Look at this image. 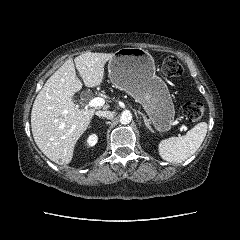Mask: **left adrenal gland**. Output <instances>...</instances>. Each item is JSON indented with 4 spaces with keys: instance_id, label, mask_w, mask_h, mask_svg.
<instances>
[{
    "instance_id": "a2214340",
    "label": "left adrenal gland",
    "mask_w": 240,
    "mask_h": 240,
    "mask_svg": "<svg viewBox=\"0 0 240 240\" xmlns=\"http://www.w3.org/2000/svg\"><path fill=\"white\" fill-rule=\"evenodd\" d=\"M138 113L142 116L146 128H148L150 131H152V128L150 126V122H149V120H147L146 116L140 111H138Z\"/></svg>"
}]
</instances>
